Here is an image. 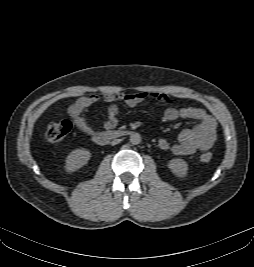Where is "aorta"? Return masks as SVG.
<instances>
[{
  "label": "aorta",
  "mask_w": 254,
  "mask_h": 267,
  "mask_svg": "<svg viewBox=\"0 0 254 267\" xmlns=\"http://www.w3.org/2000/svg\"><path fill=\"white\" fill-rule=\"evenodd\" d=\"M141 135L139 133H132L130 135V142L133 144V145H137L141 142Z\"/></svg>",
  "instance_id": "aorta-1"
}]
</instances>
